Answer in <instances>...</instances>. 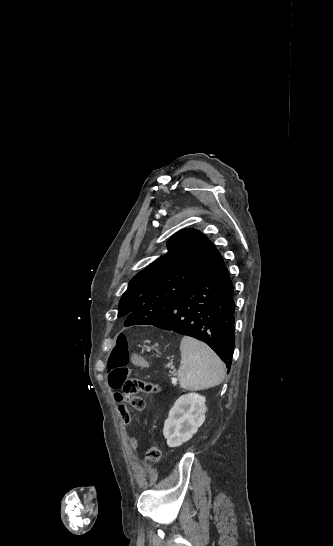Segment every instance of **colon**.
Returning <instances> with one entry per match:
<instances>
[{
  "instance_id": "colon-1",
  "label": "colon",
  "mask_w": 333,
  "mask_h": 546,
  "mask_svg": "<svg viewBox=\"0 0 333 546\" xmlns=\"http://www.w3.org/2000/svg\"><path fill=\"white\" fill-rule=\"evenodd\" d=\"M130 352L127 337L124 334H119L116 339V344L112 349L109 357V375L108 380L112 388L122 389V398L136 410H143L145 402L139 392L152 393L157 392L159 387L157 384L144 381L137 378H128L129 375ZM148 461L150 463H159L162 459V448L160 443L153 441L148 451Z\"/></svg>"
}]
</instances>
